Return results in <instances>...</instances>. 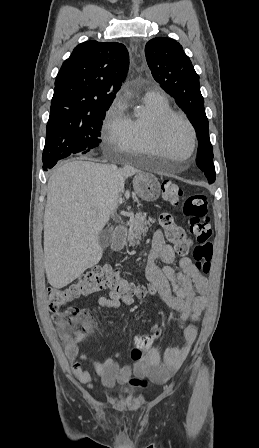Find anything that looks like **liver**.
<instances>
[{
    "label": "liver",
    "instance_id": "obj_1",
    "mask_svg": "<svg viewBox=\"0 0 259 448\" xmlns=\"http://www.w3.org/2000/svg\"><path fill=\"white\" fill-rule=\"evenodd\" d=\"M131 174L94 162H64L54 170L44 214V266L52 288H64L100 262L98 238Z\"/></svg>",
    "mask_w": 259,
    "mask_h": 448
}]
</instances>
